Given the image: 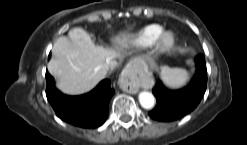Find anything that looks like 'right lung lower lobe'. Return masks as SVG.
<instances>
[{"label": "right lung lower lobe", "mask_w": 247, "mask_h": 145, "mask_svg": "<svg viewBox=\"0 0 247 145\" xmlns=\"http://www.w3.org/2000/svg\"><path fill=\"white\" fill-rule=\"evenodd\" d=\"M46 96L63 121L83 128L102 125L109 111V101L114 94L110 80H103L91 92L81 96H68L55 88L53 77L46 72Z\"/></svg>", "instance_id": "98d812e1"}]
</instances>
